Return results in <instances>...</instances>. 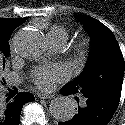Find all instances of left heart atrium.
<instances>
[{
	"label": "left heart atrium",
	"instance_id": "39dd6f15",
	"mask_svg": "<svg viewBox=\"0 0 125 125\" xmlns=\"http://www.w3.org/2000/svg\"><path fill=\"white\" fill-rule=\"evenodd\" d=\"M67 71L62 65L39 67L32 71L33 82L42 90H49L55 82L64 79Z\"/></svg>",
	"mask_w": 125,
	"mask_h": 125
}]
</instances>
